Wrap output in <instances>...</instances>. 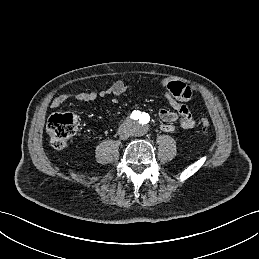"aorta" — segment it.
Returning a JSON list of instances; mask_svg holds the SVG:
<instances>
[{
    "instance_id": "aorta-1",
    "label": "aorta",
    "mask_w": 259,
    "mask_h": 259,
    "mask_svg": "<svg viewBox=\"0 0 259 259\" xmlns=\"http://www.w3.org/2000/svg\"><path fill=\"white\" fill-rule=\"evenodd\" d=\"M140 127H141L142 129H146V128H147V125H142V124H140Z\"/></svg>"
}]
</instances>
